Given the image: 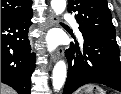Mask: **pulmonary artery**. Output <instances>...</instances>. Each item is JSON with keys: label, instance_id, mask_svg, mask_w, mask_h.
I'll use <instances>...</instances> for the list:
<instances>
[{"label": "pulmonary artery", "instance_id": "obj_1", "mask_svg": "<svg viewBox=\"0 0 121 94\" xmlns=\"http://www.w3.org/2000/svg\"><path fill=\"white\" fill-rule=\"evenodd\" d=\"M64 19H65V21H67L68 23H70L75 28L78 36L80 38H82V35H81V33H80L79 29H78V24H77L76 20L72 16H70V15H66L64 17Z\"/></svg>", "mask_w": 121, "mask_h": 94}]
</instances>
